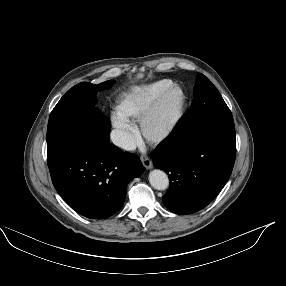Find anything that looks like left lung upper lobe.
<instances>
[{"mask_svg":"<svg viewBox=\"0 0 286 286\" xmlns=\"http://www.w3.org/2000/svg\"><path fill=\"white\" fill-rule=\"evenodd\" d=\"M235 130L233 117L221 94L203 74L196 78L193 104L172 134L186 137L205 130Z\"/></svg>","mask_w":286,"mask_h":286,"instance_id":"1","label":"left lung upper lobe"}]
</instances>
